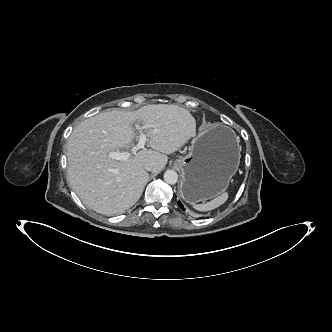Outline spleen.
<instances>
[{
    "mask_svg": "<svg viewBox=\"0 0 332 332\" xmlns=\"http://www.w3.org/2000/svg\"><path fill=\"white\" fill-rule=\"evenodd\" d=\"M227 199H228V193L225 192L207 203L194 204L193 207H194V209L201 211V212L211 211L213 209L218 208L222 204H224L227 201Z\"/></svg>",
    "mask_w": 332,
    "mask_h": 332,
    "instance_id": "1",
    "label": "spleen"
}]
</instances>
